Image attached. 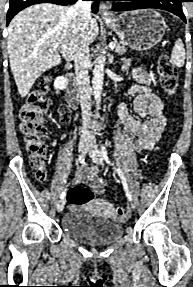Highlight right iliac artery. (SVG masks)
<instances>
[{
	"label": "right iliac artery",
	"mask_w": 193,
	"mask_h": 287,
	"mask_svg": "<svg viewBox=\"0 0 193 287\" xmlns=\"http://www.w3.org/2000/svg\"><path fill=\"white\" fill-rule=\"evenodd\" d=\"M78 161L82 165L85 161V154H80L78 157ZM66 191H67V189L63 190V192L60 195V199H64V197L66 196Z\"/></svg>",
	"instance_id": "right-iliac-artery-1"
}]
</instances>
